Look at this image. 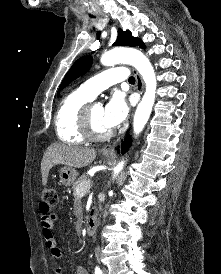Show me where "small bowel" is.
Here are the masks:
<instances>
[{
	"label": "small bowel",
	"instance_id": "c3829d8e",
	"mask_svg": "<svg viewBox=\"0 0 221 274\" xmlns=\"http://www.w3.org/2000/svg\"><path fill=\"white\" fill-rule=\"evenodd\" d=\"M39 213L40 226L45 246L50 251L52 258L59 261L62 257V253L53 234V226L54 222L57 220V215L51 211V206L47 205L43 201L39 204ZM55 274H63V269L61 267H56ZM75 274H88V272L84 267L78 266Z\"/></svg>",
	"mask_w": 221,
	"mask_h": 274
}]
</instances>
